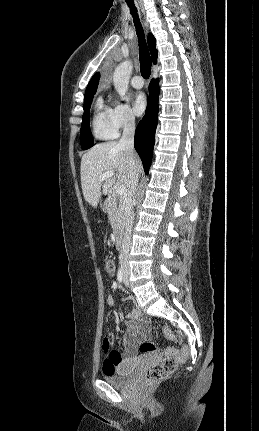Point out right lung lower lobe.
<instances>
[{"label":"right lung lower lobe","instance_id":"1","mask_svg":"<svg viewBox=\"0 0 259 431\" xmlns=\"http://www.w3.org/2000/svg\"><path fill=\"white\" fill-rule=\"evenodd\" d=\"M158 95V81L153 79L149 86V99L146 114L139 122L135 132V149L142 160L146 174L149 172L155 143V131L157 127L158 114Z\"/></svg>","mask_w":259,"mask_h":431}]
</instances>
